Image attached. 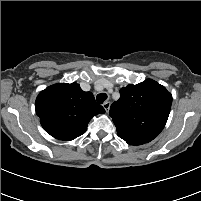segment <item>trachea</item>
<instances>
[{"mask_svg":"<svg viewBox=\"0 0 201 201\" xmlns=\"http://www.w3.org/2000/svg\"><path fill=\"white\" fill-rule=\"evenodd\" d=\"M107 99L106 93H100L97 95L96 100L99 104H102Z\"/></svg>","mask_w":201,"mask_h":201,"instance_id":"obj_1","label":"trachea"}]
</instances>
